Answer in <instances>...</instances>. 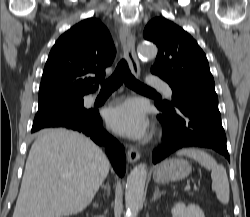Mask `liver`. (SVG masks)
Segmentation results:
<instances>
[{"label":"liver","instance_id":"liver-1","mask_svg":"<svg viewBox=\"0 0 250 217\" xmlns=\"http://www.w3.org/2000/svg\"><path fill=\"white\" fill-rule=\"evenodd\" d=\"M102 150L66 129L41 132L25 165L13 217H64L82 212L109 173Z\"/></svg>","mask_w":250,"mask_h":217}]
</instances>
